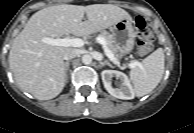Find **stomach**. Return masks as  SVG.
I'll return each mask as SVG.
<instances>
[{
    "mask_svg": "<svg viewBox=\"0 0 194 133\" xmlns=\"http://www.w3.org/2000/svg\"><path fill=\"white\" fill-rule=\"evenodd\" d=\"M111 36L120 55L129 54L135 44V31L132 19H122L110 28Z\"/></svg>",
    "mask_w": 194,
    "mask_h": 133,
    "instance_id": "obj_1",
    "label": "stomach"
}]
</instances>
